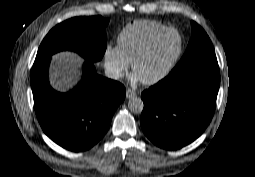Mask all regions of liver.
Returning a JSON list of instances; mask_svg holds the SVG:
<instances>
[{"mask_svg":"<svg viewBox=\"0 0 255 177\" xmlns=\"http://www.w3.org/2000/svg\"><path fill=\"white\" fill-rule=\"evenodd\" d=\"M83 59L73 52L53 55L50 66V83L60 92H66L80 80Z\"/></svg>","mask_w":255,"mask_h":177,"instance_id":"obj_1","label":"liver"}]
</instances>
